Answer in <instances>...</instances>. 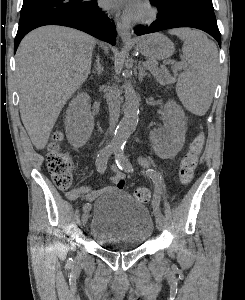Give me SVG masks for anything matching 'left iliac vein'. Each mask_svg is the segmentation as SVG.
Wrapping results in <instances>:
<instances>
[{"label": "left iliac vein", "instance_id": "1", "mask_svg": "<svg viewBox=\"0 0 245 300\" xmlns=\"http://www.w3.org/2000/svg\"><path fill=\"white\" fill-rule=\"evenodd\" d=\"M156 226H157V229L159 231H162L164 229V222H163V220H161L159 218H156Z\"/></svg>", "mask_w": 245, "mask_h": 300}]
</instances>
